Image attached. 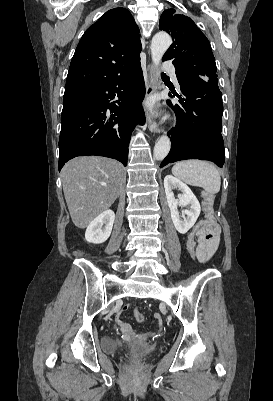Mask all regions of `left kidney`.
Returning <instances> with one entry per match:
<instances>
[{"mask_svg":"<svg viewBox=\"0 0 273 401\" xmlns=\"http://www.w3.org/2000/svg\"><path fill=\"white\" fill-rule=\"evenodd\" d=\"M164 188L167 196V203L171 213V219L174 223V227L178 233L185 235L193 225H195L201 211L200 203L197 201L195 194H193L191 188L184 184L182 180H178L172 174H166L164 178ZM173 188L181 190L182 194H179L178 198H175ZM178 205L187 207L183 213L187 217L181 219L178 213Z\"/></svg>","mask_w":273,"mask_h":401,"instance_id":"5707ae66","label":"left kidney"}]
</instances>
